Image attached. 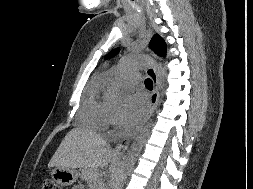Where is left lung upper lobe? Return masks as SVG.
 Instances as JSON below:
<instances>
[{
  "label": "left lung upper lobe",
  "instance_id": "obj_1",
  "mask_svg": "<svg viewBox=\"0 0 253 189\" xmlns=\"http://www.w3.org/2000/svg\"><path fill=\"white\" fill-rule=\"evenodd\" d=\"M150 48H151L155 53H157L158 55L164 56L165 53H166L167 46H166V43L164 42V40H163L160 36L155 35V36H153V38H152L151 41H150ZM118 52H119V49H114V50H112V51L105 57V59H109V58L114 57Z\"/></svg>",
  "mask_w": 253,
  "mask_h": 189
}]
</instances>
